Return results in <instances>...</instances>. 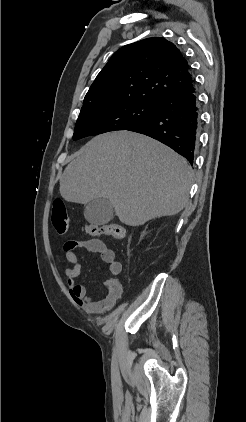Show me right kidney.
I'll return each instance as SVG.
<instances>
[{"mask_svg": "<svg viewBox=\"0 0 246 422\" xmlns=\"http://www.w3.org/2000/svg\"><path fill=\"white\" fill-rule=\"evenodd\" d=\"M146 234V232L144 231L143 234L141 235V237H143Z\"/></svg>", "mask_w": 246, "mask_h": 422, "instance_id": "1", "label": "right kidney"}]
</instances>
